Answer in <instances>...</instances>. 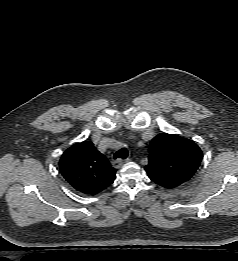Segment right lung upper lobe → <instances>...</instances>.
Returning a JSON list of instances; mask_svg holds the SVG:
<instances>
[{
  "label": "right lung upper lobe",
  "instance_id": "cb5924a9",
  "mask_svg": "<svg viewBox=\"0 0 238 261\" xmlns=\"http://www.w3.org/2000/svg\"><path fill=\"white\" fill-rule=\"evenodd\" d=\"M63 177L77 191L95 195L115 179L116 169L89 141L74 144L61 156L59 162Z\"/></svg>",
  "mask_w": 238,
  "mask_h": 261
}]
</instances>
